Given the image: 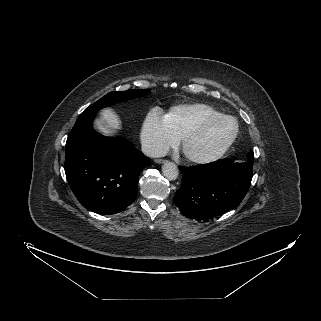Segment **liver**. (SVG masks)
<instances>
[{
  "instance_id": "liver-1",
  "label": "liver",
  "mask_w": 321,
  "mask_h": 321,
  "mask_svg": "<svg viewBox=\"0 0 321 321\" xmlns=\"http://www.w3.org/2000/svg\"><path fill=\"white\" fill-rule=\"evenodd\" d=\"M96 128L104 135H114L120 128L121 123L118 116L109 109H104L101 113V119L95 122Z\"/></svg>"
}]
</instances>
